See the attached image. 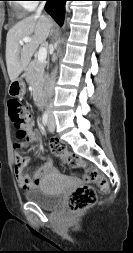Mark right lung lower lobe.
Wrapping results in <instances>:
<instances>
[{
	"mask_svg": "<svg viewBox=\"0 0 133 253\" xmlns=\"http://www.w3.org/2000/svg\"><path fill=\"white\" fill-rule=\"evenodd\" d=\"M45 10L53 19L62 25L64 15V5L67 0H46Z\"/></svg>",
	"mask_w": 133,
	"mask_h": 253,
	"instance_id": "right-lung-lower-lobe-1",
	"label": "right lung lower lobe"
}]
</instances>
